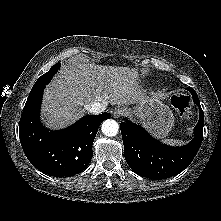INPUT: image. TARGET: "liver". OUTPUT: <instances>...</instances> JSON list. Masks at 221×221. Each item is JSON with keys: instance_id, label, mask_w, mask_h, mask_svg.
<instances>
[{"instance_id": "1", "label": "liver", "mask_w": 221, "mask_h": 221, "mask_svg": "<svg viewBox=\"0 0 221 221\" xmlns=\"http://www.w3.org/2000/svg\"><path fill=\"white\" fill-rule=\"evenodd\" d=\"M135 68L73 61L62 65L44 91L42 120L51 129L80 119L93 102L131 105L145 100Z\"/></svg>"}]
</instances>
